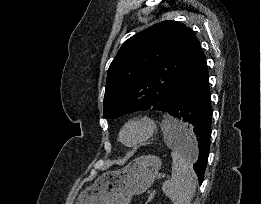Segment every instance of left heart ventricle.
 Here are the masks:
<instances>
[{
    "label": "left heart ventricle",
    "mask_w": 261,
    "mask_h": 204,
    "mask_svg": "<svg viewBox=\"0 0 261 204\" xmlns=\"http://www.w3.org/2000/svg\"><path fill=\"white\" fill-rule=\"evenodd\" d=\"M143 133V129L140 126L132 125L128 127L123 134V140L127 143L133 142L138 139Z\"/></svg>",
    "instance_id": "b2bd125f"
}]
</instances>
